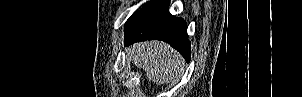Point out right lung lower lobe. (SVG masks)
I'll return each mask as SVG.
<instances>
[{
    "mask_svg": "<svg viewBox=\"0 0 302 97\" xmlns=\"http://www.w3.org/2000/svg\"><path fill=\"white\" fill-rule=\"evenodd\" d=\"M168 0H154L136 11L125 24V45L145 40H163L190 61L187 24L171 15Z\"/></svg>",
    "mask_w": 302,
    "mask_h": 97,
    "instance_id": "1",
    "label": "right lung lower lobe"
}]
</instances>
